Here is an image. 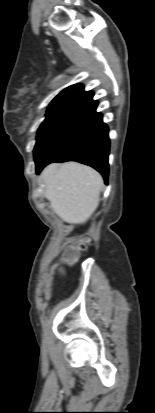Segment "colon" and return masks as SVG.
<instances>
[{
	"instance_id": "1",
	"label": "colon",
	"mask_w": 155,
	"mask_h": 413,
	"mask_svg": "<svg viewBox=\"0 0 155 413\" xmlns=\"http://www.w3.org/2000/svg\"><path fill=\"white\" fill-rule=\"evenodd\" d=\"M86 249V244L84 242H74L68 245L62 253L60 266L57 268V272L62 274L65 272L64 266L73 265L81 252Z\"/></svg>"
}]
</instances>
